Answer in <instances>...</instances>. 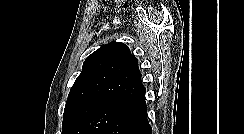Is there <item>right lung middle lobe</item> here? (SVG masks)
Wrapping results in <instances>:
<instances>
[{
	"instance_id": "dd1d6c3e",
	"label": "right lung middle lobe",
	"mask_w": 244,
	"mask_h": 134,
	"mask_svg": "<svg viewBox=\"0 0 244 134\" xmlns=\"http://www.w3.org/2000/svg\"><path fill=\"white\" fill-rule=\"evenodd\" d=\"M132 102L109 97L80 103L63 117L62 134H103Z\"/></svg>"
}]
</instances>
